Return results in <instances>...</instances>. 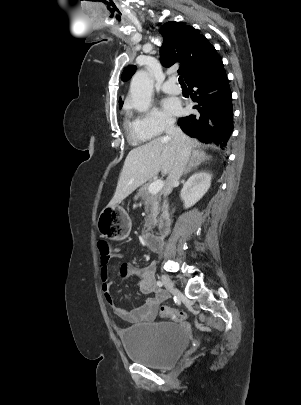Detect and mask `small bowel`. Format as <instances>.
<instances>
[{
  "label": "small bowel",
  "instance_id": "obj_1",
  "mask_svg": "<svg viewBox=\"0 0 301 405\" xmlns=\"http://www.w3.org/2000/svg\"><path fill=\"white\" fill-rule=\"evenodd\" d=\"M113 258L122 260L119 269V275L121 278L129 279L137 277L139 279L137 282L138 289L143 294L153 295V297L148 299L142 306L133 310H126L116 304L111 293V284L108 280L109 261ZM123 259L124 255L119 249L111 251L108 257L101 256L100 277L102 280L103 296L114 312L123 320L130 323L152 321L156 318L160 305L167 299V294L155 286L154 265L137 268L132 264L123 261Z\"/></svg>",
  "mask_w": 301,
  "mask_h": 405
}]
</instances>
